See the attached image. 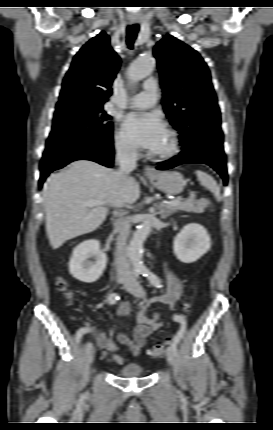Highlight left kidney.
I'll use <instances>...</instances> for the list:
<instances>
[{
  "label": "left kidney",
  "mask_w": 273,
  "mask_h": 430,
  "mask_svg": "<svg viewBox=\"0 0 273 430\" xmlns=\"http://www.w3.org/2000/svg\"><path fill=\"white\" fill-rule=\"evenodd\" d=\"M211 248L210 235L206 228L197 223L187 224L175 236L173 249L183 263H193Z\"/></svg>",
  "instance_id": "5707ae66"
}]
</instances>
